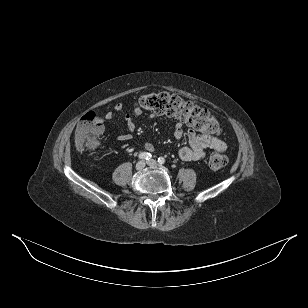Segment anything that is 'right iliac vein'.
<instances>
[{"instance_id":"right-iliac-vein-1","label":"right iliac vein","mask_w":308,"mask_h":308,"mask_svg":"<svg viewBox=\"0 0 308 308\" xmlns=\"http://www.w3.org/2000/svg\"><path fill=\"white\" fill-rule=\"evenodd\" d=\"M145 165H146V163L142 160V161L137 162L135 168L137 170H142L145 167Z\"/></svg>"}]
</instances>
